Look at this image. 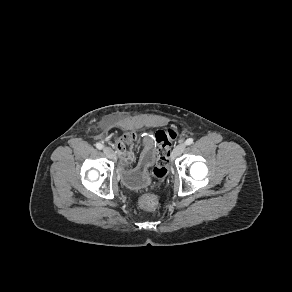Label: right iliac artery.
I'll list each match as a JSON object with an SVG mask.
<instances>
[{"mask_svg": "<svg viewBox=\"0 0 292 292\" xmlns=\"http://www.w3.org/2000/svg\"><path fill=\"white\" fill-rule=\"evenodd\" d=\"M95 146H96L98 149H100V150L103 148V145L100 144V143H96Z\"/></svg>", "mask_w": 292, "mask_h": 292, "instance_id": "right-iliac-artery-1", "label": "right iliac artery"}]
</instances>
